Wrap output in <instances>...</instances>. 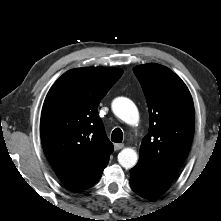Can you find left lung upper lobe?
<instances>
[{"mask_svg":"<svg viewBox=\"0 0 221 221\" xmlns=\"http://www.w3.org/2000/svg\"><path fill=\"white\" fill-rule=\"evenodd\" d=\"M149 110V133L140 159L175 176L188 156L194 134V105L184 82L169 68L149 63L133 69Z\"/></svg>","mask_w":221,"mask_h":221,"instance_id":"obj_1","label":"left lung upper lobe"}]
</instances>
